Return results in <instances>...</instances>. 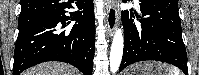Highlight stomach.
Listing matches in <instances>:
<instances>
[{
	"instance_id": "1",
	"label": "stomach",
	"mask_w": 199,
	"mask_h": 75,
	"mask_svg": "<svg viewBox=\"0 0 199 75\" xmlns=\"http://www.w3.org/2000/svg\"><path fill=\"white\" fill-rule=\"evenodd\" d=\"M163 66L155 62H142L129 67L124 75H162Z\"/></svg>"
}]
</instances>
